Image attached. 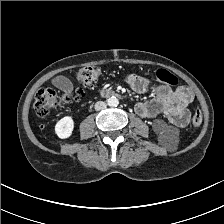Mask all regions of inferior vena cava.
I'll use <instances>...</instances> for the list:
<instances>
[{"mask_svg": "<svg viewBox=\"0 0 224 224\" xmlns=\"http://www.w3.org/2000/svg\"><path fill=\"white\" fill-rule=\"evenodd\" d=\"M106 107H107V104L103 101H98V102L95 103V110L96 111L106 109Z\"/></svg>", "mask_w": 224, "mask_h": 224, "instance_id": "602c4592", "label": "inferior vena cava"}]
</instances>
